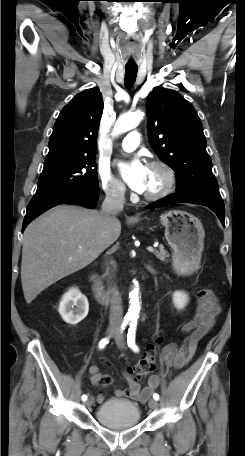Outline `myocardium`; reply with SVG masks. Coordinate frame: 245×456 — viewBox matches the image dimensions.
<instances>
[{
  "mask_svg": "<svg viewBox=\"0 0 245 456\" xmlns=\"http://www.w3.org/2000/svg\"><path fill=\"white\" fill-rule=\"evenodd\" d=\"M148 167L157 168L161 170L164 174V184L156 192L143 193V197L149 201L160 200L171 193L175 184H176V174L173 168L162 160H153L148 163Z\"/></svg>",
  "mask_w": 245,
  "mask_h": 456,
  "instance_id": "myocardium-1",
  "label": "myocardium"
}]
</instances>
